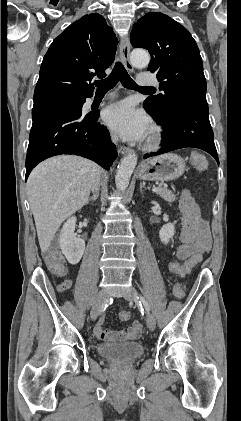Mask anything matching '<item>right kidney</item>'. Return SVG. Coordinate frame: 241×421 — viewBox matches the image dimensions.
<instances>
[{
  "label": "right kidney",
  "mask_w": 241,
  "mask_h": 421,
  "mask_svg": "<svg viewBox=\"0 0 241 421\" xmlns=\"http://www.w3.org/2000/svg\"><path fill=\"white\" fill-rule=\"evenodd\" d=\"M76 217L69 218L63 225L59 238V245L67 261L76 265L82 258L85 250V241L75 234Z\"/></svg>",
  "instance_id": "ca27d5eb"
}]
</instances>
